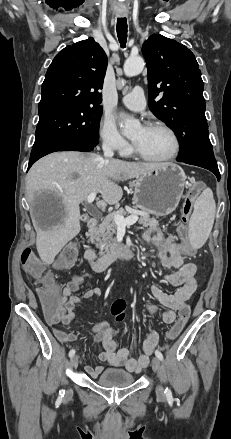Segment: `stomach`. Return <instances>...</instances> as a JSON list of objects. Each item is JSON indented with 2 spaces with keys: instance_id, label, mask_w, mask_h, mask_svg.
Masks as SVG:
<instances>
[{
  "instance_id": "1",
  "label": "stomach",
  "mask_w": 231,
  "mask_h": 439,
  "mask_svg": "<svg viewBox=\"0 0 231 439\" xmlns=\"http://www.w3.org/2000/svg\"><path fill=\"white\" fill-rule=\"evenodd\" d=\"M186 175L178 165L167 163L134 181L133 203L156 216H166L178 206L186 185Z\"/></svg>"
}]
</instances>
